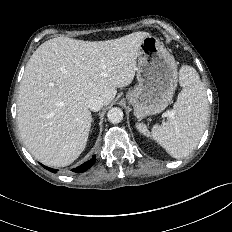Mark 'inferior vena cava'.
<instances>
[{
    "label": "inferior vena cava",
    "mask_w": 232,
    "mask_h": 232,
    "mask_svg": "<svg viewBox=\"0 0 232 232\" xmlns=\"http://www.w3.org/2000/svg\"><path fill=\"white\" fill-rule=\"evenodd\" d=\"M103 105V100L99 96H93L88 100V108L91 111L97 112L103 107Z\"/></svg>",
    "instance_id": "602c4592"
}]
</instances>
